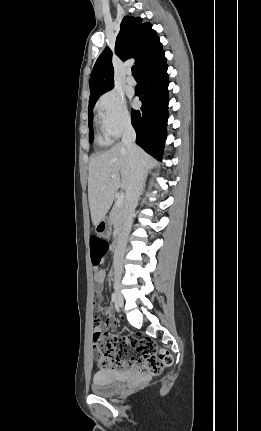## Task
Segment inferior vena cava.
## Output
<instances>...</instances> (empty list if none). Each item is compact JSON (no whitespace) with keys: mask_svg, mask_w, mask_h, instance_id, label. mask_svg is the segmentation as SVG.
I'll use <instances>...</instances> for the list:
<instances>
[{"mask_svg":"<svg viewBox=\"0 0 261 431\" xmlns=\"http://www.w3.org/2000/svg\"><path fill=\"white\" fill-rule=\"evenodd\" d=\"M135 139V130L132 127L131 123H127L123 132L122 143L126 146L129 153L130 164L132 168V177L130 186L126 191L123 210V226L118 238V243L114 254L115 261H120L125 254L128 236L132 228L133 214L143 189L144 165L140 158L139 150L135 145ZM114 273L117 277L121 276V263L116 264Z\"/></svg>","mask_w":261,"mask_h":431,"instance_id":"1","label":"inferior vena cava"}]
</instances>
